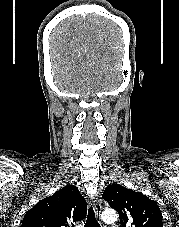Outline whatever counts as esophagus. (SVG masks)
Returning a JSON list of instances; mask_svg holds the SVG:
<instances>
[{
    "label": "esophagus",
    "mask_w": 179,
    "mask_h": 227,
    "mask_svg": "<svg viewBox=\"0 0 179 227\" xmlns=\"http://www.w3.org/2000/svg\"><path fill=\"white\" fill-rule=\"evenodd\" d=\"M94 210L96 213L97 218L100 220L101 218V211H102V205L98 198L94 199Z\"/></svg>",
    "instance_id": "esophagus-1"
}]
</instances>
